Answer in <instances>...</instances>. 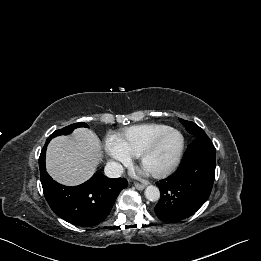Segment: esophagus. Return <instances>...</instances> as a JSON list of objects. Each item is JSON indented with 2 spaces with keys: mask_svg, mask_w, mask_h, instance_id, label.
Segmentation results:
<instances>
[{
  "mask_svg": "<svg viewBox=\"0 0 261 261\" xmlns=\"http://www.w3.org/2000/svg\"><path fill=\"white\" fill-rule=\"evenodd\" d=\"M146 187L145 184L136 183L135 188L138 190H143Z\"/></svg>",
  "mask_w": 261,
  "mask_h": 261,
  "instance_id": "1",
  "label": "esophagus"
}]
</instances>
